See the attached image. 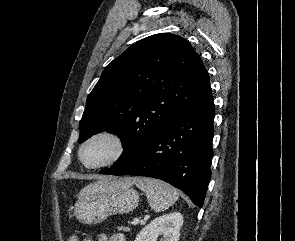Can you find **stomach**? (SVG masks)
<instances>
[{
	"mask_svg": "<svg viewBox=\"0 0 295 241\" xmlns=\"http://www.w3.org/2000/svg\"><path fill=\"white\" fill-rule=\"evenodd\" d=\"M126 179V178H125ZM125 179L94 182L84 188L75 204L74 215L84 224H97L114 214H125L135 209L138 193Z\"/></svg>",
	"mask_w": 295,
	"mask_h": 241,
	"instance_id": "obj_1",
	"label": "stomach"
}]
</instances>
